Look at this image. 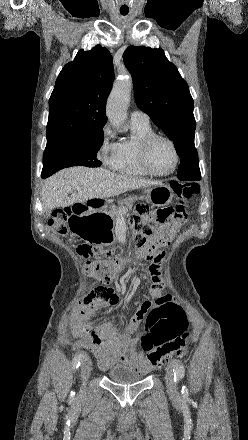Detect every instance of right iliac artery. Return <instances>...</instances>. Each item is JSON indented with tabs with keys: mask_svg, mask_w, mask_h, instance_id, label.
<instances>
[{
	"mask_svg": "<svg viewBox=\"0 0 248 440\" xmlns=\"http://www.w3.org/2000/svg\"><path fill=\"white\" fill-rule=\"evenodd\" d=\"M84 357H85V354H84V353H79V354H77V355L73 358V360H72V366H73L74 369H75V368H78V367L80 366V363H81V361H82V359H83ZM74 395H75V392L71 391V393H70V397L73 398Z\"/></svg>",
	"mask_w": 248,
	"mask_h": 440,
	"instance_id": "obj_1",
	"label": "right iliac artery"
}]
</instances>
